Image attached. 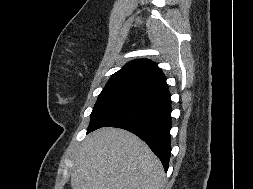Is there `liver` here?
<instances>
[{"instance_id": "obj_1", "label": "liver", "mask_w": 253, "mask_h": 189, "mask_svg": "<svg viewBox=\"0 0 253 189\" xmlns=\"http://www.w3.org/2000/svg\"><path fill=\"white\" fill-rule=\"evenodd\" d=\"M73 189H162L164 170L144 141L129 131L102 128L74 157Z\"/></svg>"}]
</instances>
